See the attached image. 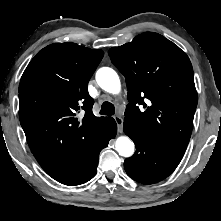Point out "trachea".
I'll list each match as a JSON object with an SVG mask.
<instances>
[{
    "label": "trachea",
    "mask_w": 221,
    "mask_h": 221,
    "mask_svg": "<svg viewBox=\"0 0 221 221\" xmlns=\"http://www.w3.org/2000/svg\"><path fill=\"white\" fill-rule=\"evenodd\" d=\"M100 114L101 115H114L115 114L114 105L110 102H104L101 106Z\"/></svg>",
    "instance_id": "1"
}]
</instances>
